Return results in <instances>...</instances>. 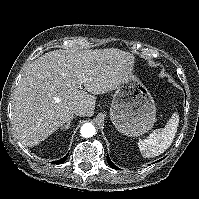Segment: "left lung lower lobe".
Returning a JSON list of instances; mask_svg holds the SVG:
<instances>
[{
	"label": "left lung lower lobe",
	"mask_w": 199,
	"mask_h": 199,
	"mask_svg": "<svg viewBox=\"0 0 199 199\" xmlns=\"http://www.w3.org/2000/svg\"><path fill=\"white\" fill-rule=\"evenodd\" d=\"M107 162H108V164L110 165L111 168L116 169V170L119 169L117 166H115V165L111 162L109 156H107Z\"/></svg>",
	"instance_id": "1"
}]
</instances>
